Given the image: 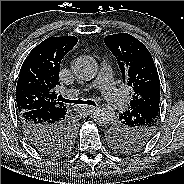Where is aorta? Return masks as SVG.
Wrapping results in <instances>:
<instances>
[{"label": "aorta", "instance_id": "obj_1", "mask_svg": "<svg viewBox=\"0 0 184 184\" xmlns=\"http://www.w3.org/2000/svg\"><path fill=\"white\" fill-rule=\"evenodd\" d=\"M73 69L77 78L83 81H91L97 75L98 65L92 57L82 56L77 58ZM114 119L115 110L110 105H100L94 112V120L99 126H108Z\"/></svg>", "mask_w": 184, "mask_h": 184}]
</instances>
